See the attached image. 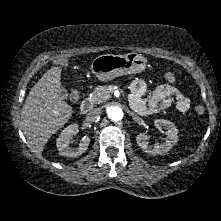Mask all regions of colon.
I'll use <instances>...</instances> for the list:
<instances>
[{"mask_svg": "<svg viewBox=\"0 0 221 221\" xmlns=\"http://www.w3.org/2000/svg\"><path fill=\"white\" fill-rule=\"evenodd\" d=\"M164 79L167 81V82H174L175 81V75L173 73H170V72H167L164 74ZM79 98V92L77 90H73L72 93H71V99L73 101H76L78 100ZM195 113L198 114V115H202L204 113V108L200 105L196 106L195 107Z\"/></svg>", "mask_w": 221, "mask_h": 221, "instance_id": "5ec220e1", "label": "colon"}]
</instances>
